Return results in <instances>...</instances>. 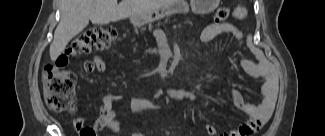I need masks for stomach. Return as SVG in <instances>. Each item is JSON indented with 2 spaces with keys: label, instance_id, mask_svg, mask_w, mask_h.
I'll use <instances>...</instances> for the list:
<instances>
[{
  "label": "stomach",
  "instance_id": "obj_1",
  "mask_svg": "<svg viewBox=\"0 0 325 136\" xmlns=\"http://www.w3.org/2000/svg\"><path fill=\"white\" fill-rule=\"evenodd\" d=\"M219 2V0H192L191 7L194 13L205 14L213 11ZM187 10L188 6L184 1H171L170 5H163V8L131 17V22L135 25H143L161 19L166 15H177L178 12H186Z\"/></svg>",
  "mask_w": 325,
  "mask_h": 136
}]
</instances>
